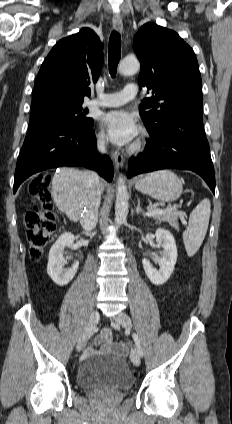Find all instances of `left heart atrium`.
I'll list each match as a JSON object with an SVG mask.
<instances>
[{"instance_id":"1","label":"left heart atrium","mask_w":232,"mask_h":424,"mask_svg":"<svg viewBox=\"0 0 232 424\" xmlns=\"http://www.w3.org/2000/svg\"><path fill=\"white\" fill-rule=\"evenodd\" d=\"M110 139L118 144L130 143L138 135V126L134 117L125 111L107 113L102 119Z\"/></svg>"}]
</instances>
